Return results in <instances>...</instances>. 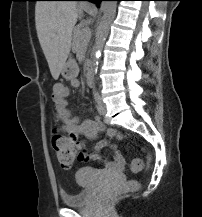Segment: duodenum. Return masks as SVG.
<instances>
[{
  "instance_id": "410a0bca",
  "label": "duodenum",
  "mask_w": 202,
  "mask_h": 217,
  "mask_svg": "<svg viewBox=\"0 0 202 217\" xmlns=\"http://www.w3.org/2000/svg\"><path fill=\"white\" fill-rule=\"evenodd\" d=\"M87 81H88L89 85L94 84V74H93V72L91 70L88 71Z\"/></svg>"
}]
</instances>
